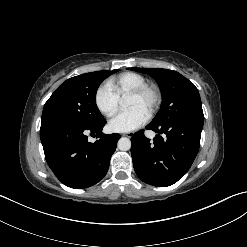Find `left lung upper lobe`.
<instances>
[{
	"label": "left lung upper lobe",
	"mask_w": 247,
	"mask_h": 247,
	"mask_svg": "<svg viewBox=\"0 0 247 247\" xmlns=\"http://www.w3.org/2000/svg\"><path fill=\"white\" fill-rule=\"evenodd\" d=\"M130 69L149 74L158 82L161 89V109L151 124H167L177 117L204 121L201 99L197 88L180 73L162 68Z\"/></svg>",
	"instance_id": "left-lung-upper-lobe-1"
}]
</instances>
